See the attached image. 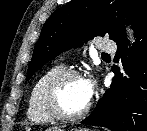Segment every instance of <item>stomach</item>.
<instances>
[{"mask_svg": "<svg viewBox=\"0 0 147 131\" xmlns=\"http://www.w3.org/2000/svg\"><path fill=\"white\" fill-rule=\"evenodd\" d=\"M55 131H66V130L59 128L58 130H55ZM71 131H91V130L88 128H73V129H71Z\"/></svg>", "mask_w": 147, "mask_h": 131, "instance_id": "0dacf381", "label": "stomach"}]
</instances>
